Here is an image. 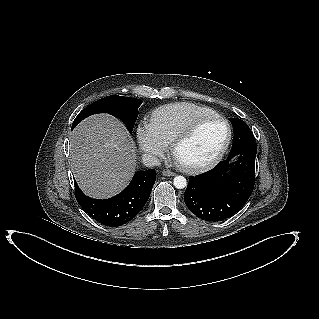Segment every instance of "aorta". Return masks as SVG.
<instances>
[{
	"label": "aorta",
	"mask_w": 319,
	"mask_h": 319,
	"mask_svg": "<svg viewBox=\"0 0 319 319\" xmlns=\"http://www.w3.org/2000/svg\"><path fill=\"white\" fill-rule=\"evenodd\" d=\"M173 184H174L175 188L183 189V188H185L187 186V180L183 176H176L173 179Z\"/></svg>",
	"instance_id": "1"
}]
</instances>
